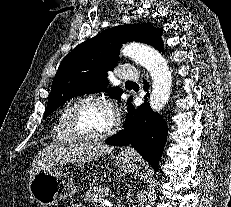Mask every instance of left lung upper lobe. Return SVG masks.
Here are the masks:
<instances>
[{
  "label": "left lung upper lobe",
  "mask_w": 231,
  "mask_h": 207,
  "mask_svg": "<svg viewBox=\"0 0 231 207\" xmlns=\"http://www.w3.org/2000/svg\"><path fill=\"white\" fill-rule=\"evenodd\" d=\"M162 29L150 23L125 24L107 29L73 49L61 62L53 79L44 118L67 100L86 93L107 91L110 98L120 100L119 87L107 89V72L119 61L120 46L126 42H142L162 51ZM132 98H129V102Z\"/></svg>",
  "instance_id": "5c2ea615"
}]
</instances>
